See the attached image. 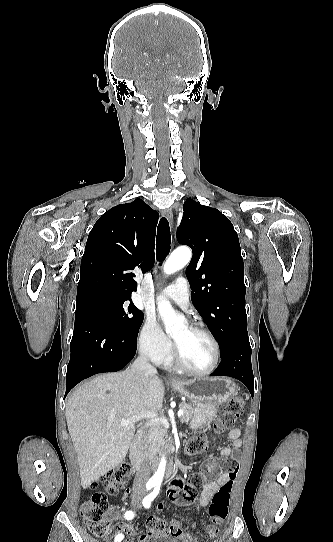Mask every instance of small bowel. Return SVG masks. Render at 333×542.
<instances>
[{
	"instance_id": "obj_1",
	"label": "small bowel",
	"mask_w": 333,
	"mask_h": 542,
	"mask_svg": "<svg viewBox=\"0 0 333 542\" xmlns=\"http://www.w3.org/2000/svg\"><path fill=\"white\" fill-rule=\"evenodd\" d=\"M240 437H241V430L238 427L232 428L228 433V439L231 445L226 446L221 450L220 457L222 458L233 457V460L235 462H240L242 460V455L238 453V451L242 447V441ZM213 470H214L213 467L208 464L206 471L213 472ZM231 482H232V478H230L226 474L219 473L215 480L208 482L204 486L199 498V505L201 507H205L208 504L210 498L213 496V494L222 485L226 483H231ZM130 494H131V489L129 488L126 489L122 497V501H125L129 497ZM166 496L171 502L177 505H181V506L188 505L191 502L190 495L185 490V479L182 476H173L170 478L166 487ZM172 526L179 527L178 522L173 521ZM119 531L121 533H130L132 532V526L130 524H121L119 526ZM117 534H118V531L116 529H112L110 531L109 537L111 539H114ZM139 539H140V542H145V536H140Z\"/></svg>"
}]
</instances>
